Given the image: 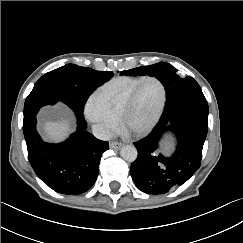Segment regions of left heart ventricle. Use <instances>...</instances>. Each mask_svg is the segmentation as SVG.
<instances>
[{"label": "left heart ventricle", "instance_id": "left-heart-ventricle-1", "mask_svg": "<svg viewBox=\"0 0 243 243\" xmlns=\"http://www.w3.org/2000/svg\"><path fill=\"white\" fill-rule=\"evenodd\" d=\"M162 98L158 83L148 81L140 88L136 100L127 118V126L131 129L145 125L157 110Z\"/></svg>", "mask_w": 243, "mask_h": 243}]
</instances>
